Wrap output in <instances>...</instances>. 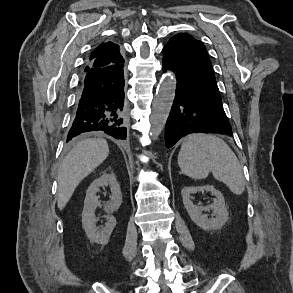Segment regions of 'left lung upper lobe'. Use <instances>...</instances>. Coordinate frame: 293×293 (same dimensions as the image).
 <instances>
[{
	"label": "left lung upper lobe",
	"instance_id": "left-lung-upper-lobe-1",
	"mask_svg": "<svg viewBox=\"0 0 293 293\" xmlns=\"http://www.w3.org/2000/svg\"><path fill=\"white\" fill-rule=\"evenodd\" d=\"M178 55L189 76L220 94L207 50L202 42L185 33L175 35L166 44Z\"/></svg>",
	"mask_w": 293,
	"mask_h": 293
}]
</instances>
